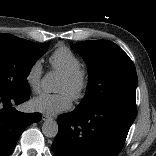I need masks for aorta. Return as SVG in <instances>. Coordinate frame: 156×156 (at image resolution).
Masks as SVG:
<instances>
[{
  "label": "aorta",
  "mask_w": 156,
  "mask_h": 156,
  "mask_svg": "<svg viewBox=\"0 0 156 156\" xmlns=\"http://www.w3.org/2000/svg\"><path fill=\"white\" fill-rule=\"evenodd\" d=\"M42 88L47 92H52L55 86V81L51 73L46 74L41 81ZM44 136L53 138L58 133V124L53 119L46 120L42 125Z\"/></svg>",
  "instance_id": "762f6f07"
}]
</instances>
